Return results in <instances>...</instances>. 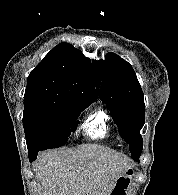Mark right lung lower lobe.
I'll return each instance as SVG.
<instances>
[{
	"label": "right lung lower lobe",
	"mask_w": 178,
	"mask_h": 195,
	"mask_svg": "<svg viewBox=\"0 0 178 195\" xmlns=\"http://www.w3.org/2000/svg\"><path fill=\"white\" fill-rule=\"evenodd\" d=\"M37 158V153L29 155V161L33 162Z\"/></svg>",
	"instance_id": "98d812e1"
}]
</instances>
